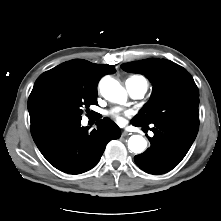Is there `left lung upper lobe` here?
<instances>
[{
	"label": "left lung upper lobe",
	"instance_id": "left-lung-upper-lobe-1",
	"mask_svg": "<svg viewBox=\"0 0 221 221\" xmlns=\"http://www.w3.org/2000/svg\"><path fill=\"white\" fill-rule=\"evenodd\" d=\"M121 67L127 72L144 74L153 83L151 99L134 117L135 122H199L198 88L186 69L170 60L154 58L124 63Z\"/></svg>",
	"mask_w": 221,
	"mask_h": 221
}]
</instances>
